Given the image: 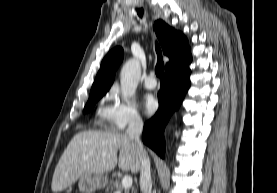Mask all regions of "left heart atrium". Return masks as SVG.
I'll list each match as a JSON object with an SVG mask.
<instances>
[{"instance_id":"obj_1","label":"left heart atrium","mask_w":277,"mask_h":193,"mask_svg":"<svg viewBox=\"0 0 277 193\" xmlns=\"http://www.w3.org/2000/svg\"><path fill=\"white\" fill-rule=\"evenodd\" d=\"M143 106H144L145 112L151 115L156 111L158 107V102L154 98V96H152L151 94H146L143 98Z\"/></svg>"}]
</instances>
